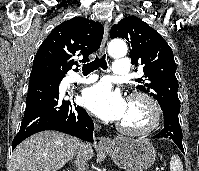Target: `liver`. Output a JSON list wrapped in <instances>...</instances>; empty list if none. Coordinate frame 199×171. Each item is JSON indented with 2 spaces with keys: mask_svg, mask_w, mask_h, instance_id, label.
Wrapping results in <instances>:
<instances>
[{
  "mask_svg": "<svg viewBox=\"0 0 199 171\" xmlns=\"http://www.w3.org/2000/svg\"><path fill=\"white\" fill-rule=\"evenodd\" d=\"M79 139L57 131H43L34 134L20 143L11 158L10 171H58L75 152ZM87 159L92 158L90 144L83 145Z\"/></svg>",
  "mask_w": 199,
  "mask_h": 171,
  "instance_id": "6515ba94",
  "label": "liver"
}]
</instances>
